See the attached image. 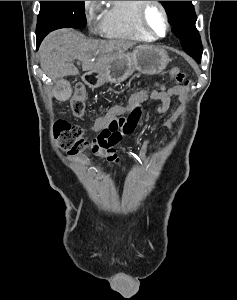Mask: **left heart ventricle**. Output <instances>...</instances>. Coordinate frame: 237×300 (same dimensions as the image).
<instances>
[{
  "instance_id": "b2bd125f",
  "label": "left heart ventricle",
  "mask_w": 237,
  "mask_h": 300,
  "mask_svg": "<svg viewBox=\"0 0 237 300\" xmlns=\"http://www.w3.org/2000/svg\"><path fill=\"white\" fill-rule=\"evenodd\" d=\"M148 22L150 26L158 33L163 34L165 30L164 21L158 8L151 7L148 12Z\"/></svg>"
}]
</instances>
